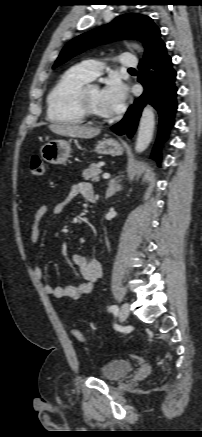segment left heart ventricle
Wrapping results in <instances>:
<instances>
[{
    "instance_id": "1",
    "label": "left heart ventricle",
    "mask_w": 202,
    "mask_h": 437,
    "mask_svg": "<svg viewBox=\"0 0 202 437\" xmlns=\"http://www.w3.org/2000/svg\"><path fill=\"white\" fill-rule=\"evenodd\" d=\"M88 100L92 109L101 116H109L110 114L106 111L103 100H102V90L96 86H90L88 88Z\"/></svg>"
}]
</instances>
